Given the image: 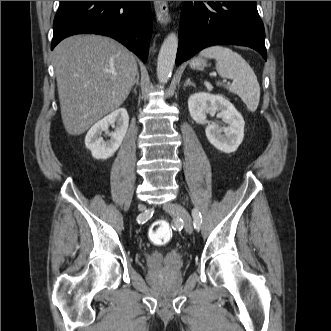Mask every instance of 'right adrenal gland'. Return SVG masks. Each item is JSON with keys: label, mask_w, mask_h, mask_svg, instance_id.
<instances>
[{"label": "right adrenal gland", "mask_w": 331, "mask_h": 331, "mask_svg": "<svg viewBox=\"0 0 331 331\" xmlns=\"http://www.w3.org/2000/svg\"><path fill=\"white\" fill-rule=\"evenodd\" d=\"M139 84V74H137L136 79L134 80L133 86Z\"/></svg>", "instance_id": "obj_1"}]
</instances>
